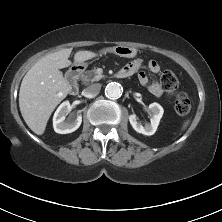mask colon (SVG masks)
I'll return each instance as SVG.
<instances>
[{"mask_svg": "<svg viewBox=\"0 0 222 222\" xmlns=\"http://www.w3.org/2000/svg\"><path fill=\"white\" fill-rule=\"evenodd\" d=\"M160 84L166 94L173 98L175 110L180 116H185L191 108L190 99L187 94L178 92V80L171 69H164L160 75Z\"/></svg>", "mask_w": 222, "mask_h": 222, "instance_id": "1", "label": "colon"}]
</instances>
